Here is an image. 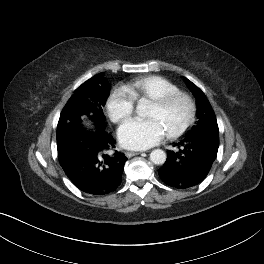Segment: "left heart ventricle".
Masks as SVG:
<instances>
[{"instance_id": "1", "label": "left heart ventricle", "mask_w": 264, "mask_h": 264, "mask_svg": "<svg viewBox=\"0 0 264 264\" xmlns=\"http://www.w3.org/2000/svg\"><path fill=\"white\" fill-rule=\"evenodd\" d=\"M160 121L166 132L177 128L186 116V106L183 102H177L167 110H160L155 105H151L148 115Z\"/></svg>"}]
</instances>
